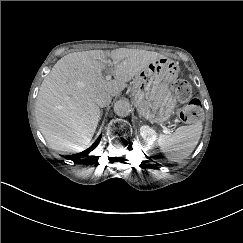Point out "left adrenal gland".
<instances>
[{"label": "left adrenal gland", "mask_w": 243, "mask_h": 243, "mask_svg": "<svg viewBox=\"0 0 243 243\" xmlns=\"http://www.w3.org/2000/svg\"><path fill=\"white\" fill-rule=\"evenodd\" d=\"M138 114H139V117H140V118H142V115H141L140 111H139V113H138Z\"/></svg>", "instance_id": "1"}]
</instances>
